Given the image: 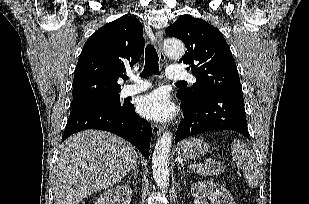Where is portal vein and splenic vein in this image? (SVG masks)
<instances>
[{"label":"portal vein and splenic vein","instance_id":"1","mask_svg":"<svg viewBox=\"0 0 309 204\" xmlns=\"http://www.w3.org/2000/svg\"><path fill=\"white\" fill-rule=\"evenodd\" d=\"M196 166V164H192L190 165V168H194Z\"/></svg>","mask_w":309,"mask_h":204}]
</instances>
